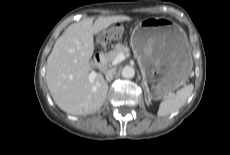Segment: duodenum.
<instances>
[{
	"label": "duodenum",
	"mask_w": 230,
	"mask_h": 155,
	"mask_svg": "<svg viewBox=\"0 0 230 155\" xmlns=\"http://www.w3.org/2000/svg\"><path fill=\"white\" fill-rule=\"evenodd\" d=\"M96 67L99 71H103L106 67V61L104 58V54L97 53L95 55Z\"/></svg>",
	"instance_id": "1"
}]
</instances>
